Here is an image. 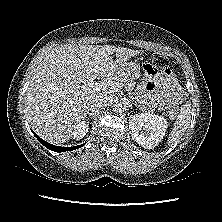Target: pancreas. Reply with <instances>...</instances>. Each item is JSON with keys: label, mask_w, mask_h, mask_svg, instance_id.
Segmentation results:
<instances>
[{"label": "pancreas", "mask_w": 222, "mask_h": 222, "mask_svg": "<svg viewBox=\"0 0 222 222\" xmlns=\"http://www.w3.org/2000/svg\"><path fill=\"white\" fill-rule=\"evenodd\" d=\"M110 83H117L119 84V86H124V83H127L125 82L124 78H122L121 76L119 75H113L109 78V81Z\"/></svg>", "instance_id": "cf45deb5"}]
</instances>
